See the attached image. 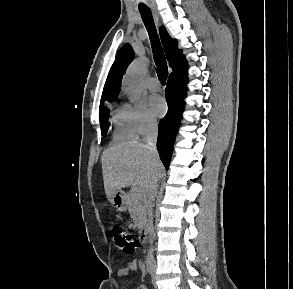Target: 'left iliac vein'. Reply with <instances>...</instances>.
Returning <instances> with one entry per match:
<instances>
[{
  "mask_svg": "<svg viewBox=\"0 0 293 289\" xmlns=\"http://www.w3.org/2000/svg\"><path fill=\"white\" fill-rule=\"evenodd\" d=\"M155 269H156V262L154 260H152L151 279H152L153 285L156 287Z\"/></svg>",
  "mask_w": 293,
  "mask_h": 289,
  "instance_id": "1",
  "label": "left iliac vein"
}]
</instances>
